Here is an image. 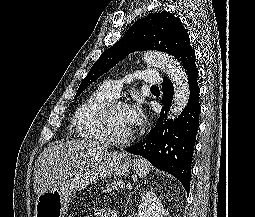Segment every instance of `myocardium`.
<instances>
[{"instance_id": "obj_1", "label": "myocardium", "mask_w": 255, "mask_h": 217, "mask_svg": "<svg viewBox=\"0 0 255 217\" xmlns=\"http://www.w3.org/2000/svg\"><path fill=\"white\" fill-rule=\"evenodd\" d=\"M117 107H126V104L122 101L118 100H111L110 102L106 103L97 113L96 116V121H97V126L98 130L106 142L112 143V144H117V145H122V144H127L131 142L134 138V133L132 132L126 137H116L111 133L110 130V114L111 112L117 108Z\"/></svg>"}]
</instances>
